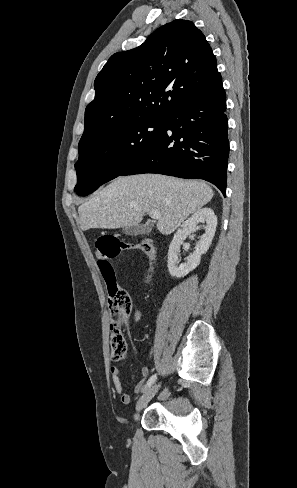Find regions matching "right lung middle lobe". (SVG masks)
<instances>
[{"label":"right lung middle lobe","instance_id":"right-lung-middle-lobe-1","mask_svg":"<svg viewBox=\"0 0 297 488\" xmlns=\"http://www.w3.org/2000/svg\"><path fill=\"white\" fill-rule=\"evenodd\" d=\"M166 118H145L95 140L81 139L74 191L86 196L130 167L164 130Z\"/></svg>","mask_w":297,"mask_h":488}]
</instances>
